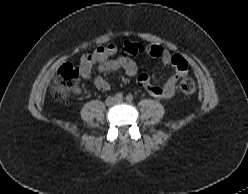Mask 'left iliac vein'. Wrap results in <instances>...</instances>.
<instances>
[{
  "label": "left iliac vein",
  "instance_id": "left-iliac-vein-1",
  "mask_svg": "<svg viewBox=\"0 0 248 194\" xmlns=\"http://www.w3.org/2000/svg\"><path fill=\"white\" fill-rule=\"evenodd\" d=\"M116 102H118V103H119V102H122V100H116Z\"/></svg>",
  "mask_w": 248,
  "mask_h": 194
}]
</instances>
